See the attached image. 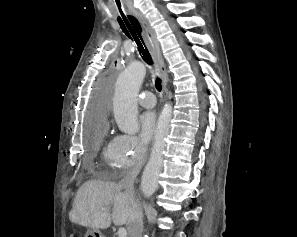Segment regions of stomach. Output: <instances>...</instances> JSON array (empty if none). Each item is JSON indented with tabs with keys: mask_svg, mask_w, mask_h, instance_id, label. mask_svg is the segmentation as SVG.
<instances>
[{
	"mask_svg": "<svg viewBox=\"0 0 297 237\" xmlns=\"http://www.w3.org/2000/svg\"><path fill=\"white\" fill-rule=\"evenodd\" d=\"M85 237H104V236L100 233V231L91 228L87 230Z\"/></svg>",
	"mask_w": 297,
	"mask_h": 237,
	"instance_id": "1",
	"label": "stomach"
}]
</instances>
